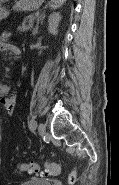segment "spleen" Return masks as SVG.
<instances>
[{
    "mask_svg": "<svg viewBox=\"0 0 119 185\" xmlns=\"http://www.w3.org/2000/svg\"><path fill=\"white\" fill-rule=\"evenodd\" d=\"M66 0H51L53 8H59Z\"/></svg>",
    "mask_w": 119,
    "mask_h": 185,
    "instance_id": "spleen-1",
    "label": "spleen"
}]
</instances>
